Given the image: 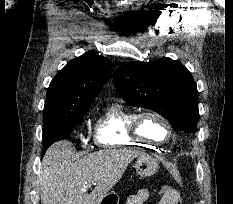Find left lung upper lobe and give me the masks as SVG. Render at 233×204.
Returning <instances> with one entry per match:
<instances>
[{
  "instance_id": "left-lung-upper-lobe-1",
  "label": "left lung upper lobe",
  "mask_w": 233,
  "mask_h": 204,
  "mask_svg": "<svg viewBox=\"0 0 233 204\" xmlns=\"http://www.w3.org/2000/svg\"><path fill=\"white\" fill-rule=\"evenodd\" d=\"M114 83L130 106L155 110L175 131L197 132L198 91L192 75L180 62L170 58L134 61L117 69Z\"/></svg>"
}]
</instances>
